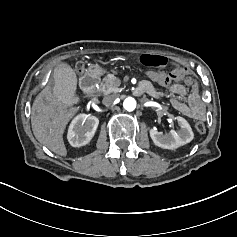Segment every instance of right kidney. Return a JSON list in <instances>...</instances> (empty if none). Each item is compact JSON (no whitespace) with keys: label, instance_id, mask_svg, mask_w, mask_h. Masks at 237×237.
<instances>
[{"label":"right kidney","instance_id":"obj_1","mask_svg":"<svg viewBox=\"0 0 237 237\" xmlns=\"http://www.w3.org/2000/svg\"><path fill=\"white\" fill-rule=\"evenodd\" d=\"M99 119L92 115L79 114L68 128L67 139L71 146L81 147L90 142L98 127Z\"/></svg>","mask_w":237,"mask_h":237}]
</instances>
